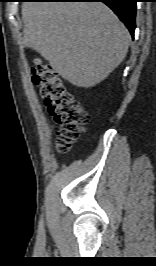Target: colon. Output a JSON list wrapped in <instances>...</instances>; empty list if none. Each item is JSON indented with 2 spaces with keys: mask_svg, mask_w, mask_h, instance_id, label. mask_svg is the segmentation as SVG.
Listing matches in <instances>:
<instances>
[{
  "mask_svg": "<svg viewBox=\"0 0 156 266\" xmlns=\"http://www.w3.org/2000/svg\"><path fill=\"white\" fill-rule=\"evenodd\" d=\"M32 73L49 113L59 125L57 149L59 152H67L79 140L88 122V113L66 90L57 73L41 59L35 60Z\"/></svg>",
  "mask_w": 156,
  "mask_h": 266,
  "instance_id": "obj_1",
  "label": "colon"
}]
</instances>
